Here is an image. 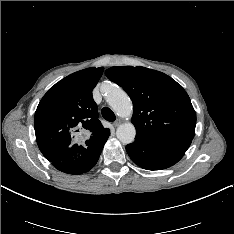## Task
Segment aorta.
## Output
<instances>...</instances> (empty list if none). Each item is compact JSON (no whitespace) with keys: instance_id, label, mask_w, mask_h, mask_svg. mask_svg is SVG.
<instances>
[{"instance_id":"obj_1","label":"aorta","mask_w":234,"mask_h":234,"mask_svg":"<svg viewBox=\"0 0 234 234\" xmlns=\"http://www.w3.org/2000/svg\"><path fill=\"white\" fill-rule=\"evenodd\" d=\"M106 101L120 117H130L132 115V102L127 93L115 84H107L103 88ZM136 135L135 127L127 122L118 126L116 136L123 144H130Z\"/></svg>"}]
</instances>
